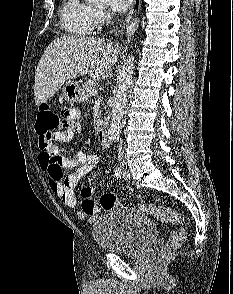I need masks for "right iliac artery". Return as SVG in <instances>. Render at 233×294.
<instances>
[{"label":"right iliac artery","mask_w":233,"mask_h":294,"mask_svg":"<svg viewBox=\"0 0 233 294\" xmlns=\"http://www.w3.org/2000/svg\"><path fill=\"white\" fill-rule=\"evenodd\" d=\"M114 175L117 179H121L122 177V169L120 167H117L115 170H114Z\"/></svg>","instance_id":"right-iliac-artery-1"}]
</instances>
